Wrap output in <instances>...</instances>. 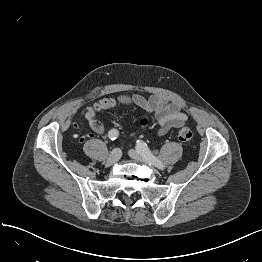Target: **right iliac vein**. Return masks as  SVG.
<instances>
[{"label":"right iliac vein","instance_id":"1","mask_svg":"<svg viewBox=\"0 0 262 262\" xmlns=\"http://www.w3.org/2000/svg\"><path fill=\"white\" fill-rule=\"evenodd\" d=\"M121 158V150L119 148H115L111 151L107 161L106 165L107 166H112L116 164Z\"/></svg>","mask_w":262,"mask_h":262}]
</instances>
